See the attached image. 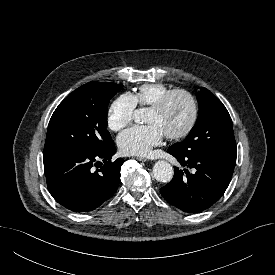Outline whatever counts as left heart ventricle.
I'll return each instance as SVG.
<instances>
[{
	"mask_svg": "<svg viewBox=\"0 0 275 275\" xmlns=\"http://www.w3.org/2000/svg\"><path fill=\"white\" fill-rule=\"evenodd\" d=\"M191 108L189 101L182 95H176L161 111L149 110L148 124H156L164 135L182 130L190 118Z\"/></svg>",
	"mask_w": 275,
	"mask_h": 275,
	"instance_id": "1",
	"label": "left heart ventricle"
}]
</instances>
